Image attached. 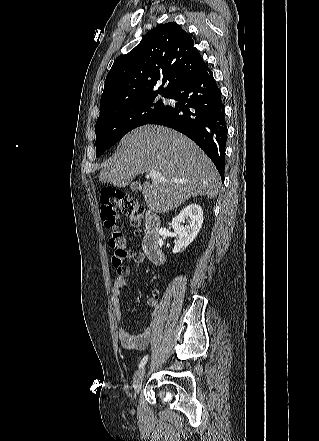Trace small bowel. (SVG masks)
Returning <instances> with one entry per match:
<instances>
[{
	"mask_svg": "<svg viewBox=\"0 0 319 441\" xmlns=\"http://www.w3.org/2000/svg\"><path fill=\"white\" fill-rule=\"evenodd\" d=\"M134 265H140L144 262V254L137 251H129L126 256ZM117 275L113 281L110 290L111 303L113 307L114 317L118 323V338L122 345V347L126 350L130 351H143L145 350L153 336L154 332V323L151 321L148 325L144 327V329L138 333L133 334L126 331L121 326V308H120V299L122 289L126 285V278L129 275L130 269L127 266L121 264L115 265ZM148 307L155 309L158 305V299L156 297H149L146 301Z\"/></svg>",
	"mask_w": 319,
	"mask_h": 441,
	"instance_id": "small-bowel-1",
	"label": "small bowel"
}]
</instances>
